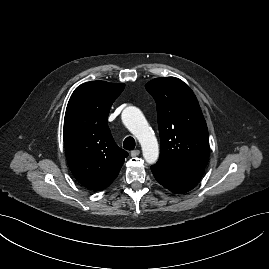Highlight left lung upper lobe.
<instances>
[{"label": "left lung upper lobe", "instance_id": "obj_1", "mask_svg": "<svg viewBox=\"0 0 269 269\" xmlns=\"http://www.w3.org/2000/svg\"><path fill=\"white\" fill-rule=\"evenodd\" d=\"M157 104L160 158L205 168L209 136L192 90L175 77L156 78L145 85Z\"/></svg>", "mask_w": 269, "mask_h": 269}]
</instances>
